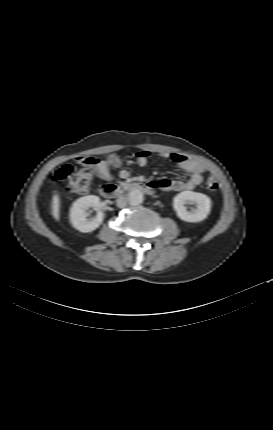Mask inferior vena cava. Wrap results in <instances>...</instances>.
<instances>
[{
  "instance_id": "602c4592",
  "label": "inferior vena cava",
  "mask_w": 273,
  "mask_h": 430,
  "mask_svg": "<svg viewBox=\"0 0 273 430\" xmlns=\"http://www.w3.org/2000/svg\"><path fill=\"white\" fill-rule=\"evenodd\" d=\"M127 205L126 198L121 196L117 199V206L119 208H124Z\"/></svg>"
}]
</instances>
